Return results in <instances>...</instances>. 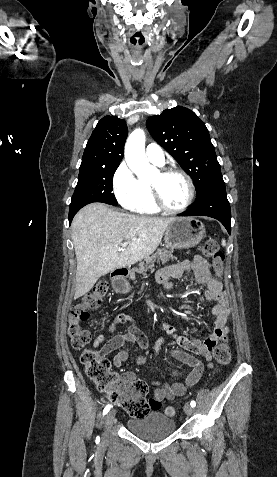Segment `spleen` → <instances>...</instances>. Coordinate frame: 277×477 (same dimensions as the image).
Masks as SVG:
<instances>
[{
	"label": "spleen",
	"mask_w": 277,
	"mask_h": 477,
	"mask_svg": "<svg viewBox=\"0 0 277 477\" xmlns=\"http://www.w3.org/2000/svg\"><path fill=\"white\" fill-rule=\"evenodd\" d=\"M222 245L226 246V241L224 239L222 240Z\"/></svg>",
	"instance_id": "obj_1"
}]
</instances>
